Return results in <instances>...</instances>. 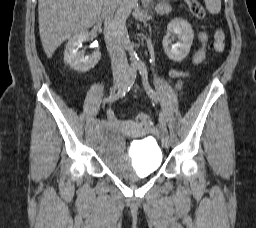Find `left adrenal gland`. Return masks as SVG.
<instances>
[{
    "label": "left adrenal gland",
    "instance_id": "a2214340",
    "mask_svg": "<svg viewBox=\"0 0 256 228\" xmlns=\"http://www.w3.org/2000/svg\"><path fill=\"white\" fill-rule=\"evenodd\" d=\"M143 4H144L145 9H149L150 6L154 5V2H153V0H143Z\"/></svg>",
    "mask_w": 256,
    "mask_h": 228
}]
</instances>
